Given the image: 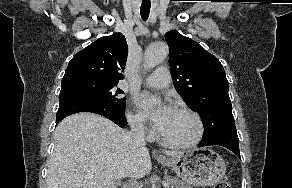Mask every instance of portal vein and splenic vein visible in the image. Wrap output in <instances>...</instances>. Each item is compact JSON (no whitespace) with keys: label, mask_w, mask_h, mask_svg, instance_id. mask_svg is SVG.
Returning a JSON list of instances; mask_svg holds the SVG:
<instances>
[{"label":"portal vein and splenic vein","mask_w":292,"mask_h":188,"mask_svg":"<svg viewBox=\"0 0 292 188\" xmlns=\"http://www.w3.org/2000/svg\"><path fill=\"white\" fill-rule=\"evenodd\" d=\"M88 176L90 177L91 175L89 174ZM165 188H169V185H165Z\"/></svg>","instance_id":"18ae733b"}]
</instances>
